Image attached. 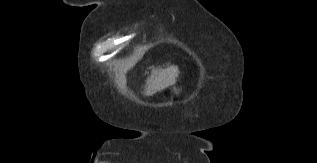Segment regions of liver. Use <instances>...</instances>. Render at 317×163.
<instances>
[{
    "label": "liver",
    "mask_w": 317,
    "mask_h": 163,
    "mask_svg": "<svg viewBox=\"0 0 317 163\" xmlns=\"http://www.w3.org/2000/svg\"><path fill=\"white\" fill-rule=\"evenodd\" d=\"M178 67L175 65H167L165 68H152L151 75L146 80V87L144 94L152 96L176 83L179 75ZM116 83L119 88H124L126 85L125 69L121 68L117 75Z\"/></svg>",
    "instance_id": "obj_1"
}]
</instances>
